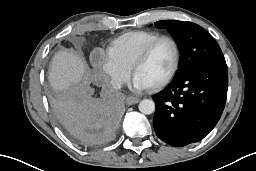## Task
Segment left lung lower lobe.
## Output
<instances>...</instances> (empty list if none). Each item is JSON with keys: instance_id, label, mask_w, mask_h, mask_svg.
Wrapping results in <instances>:
<instances>
[{"instance_id": "1", "label": "left lung lower lobe", "mask_w": 256, "mask_h": 171, "mask_svg": "<svg viewBox=\"0 0 256 171\" xmlns=\"http://www.w3.org/2000/svg\"><path fill=\"white\" fill-rule=\"evenodd\" d=\"M228 88L226 62L195 66L153 95L157 136L182 147L203 139L223 112Z\"/></svg>"}]
</instances>
